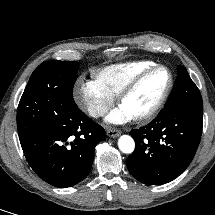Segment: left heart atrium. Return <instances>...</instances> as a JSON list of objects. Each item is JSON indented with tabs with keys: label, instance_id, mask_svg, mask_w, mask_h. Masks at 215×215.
I'll return each instance as SVG.
<instances>
[{
	"label": "left heart atrium",
	"instance_id": "39dd6f15",
	"mask_svg": "<svg viewBox=\"0 0 215 215\" xmlns=\"http://www.w3.org/2000/svg\"><path fill=\"white\" fill-rule=\"evenodd\" d=\"M131 117L130 113L121 105L109 113L106 121L109 124H122L127 122Z\"/></svg>",
	"mask_w": 215,
	"mask_h": 215
}]
</instances>
